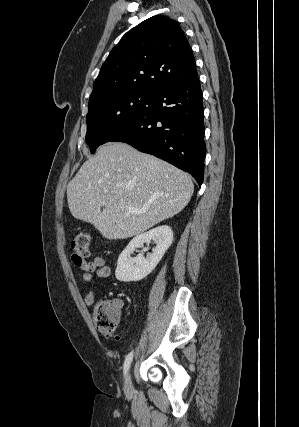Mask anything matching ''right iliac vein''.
Returning <instances> with one entry per match:
<instances>
[{"instance_id": "63e3f726", "label": "right iliac vein", "mask_w": 299, "mask_h": 427, "mask_svg": "<svg viewBox=\"0 0 299 427\" xmlns=\"http://www.w3.org/2000/svg\"><path fill=\"white\" fill-rule=\"evenodd\" d=\"M132 388H133V386H132L131 374L128 373L126 380H125L124 389L126 392H130V391H132Z\"/></svg>"}]
</instances>
